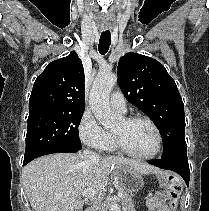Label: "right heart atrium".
I'll return each instance as SVG.
<instances>
[{
	"mask_svg": "<svg viewBox=\"0 0 209 211\" xmlns=\"http://www.w3.org/2000/svg\"><path fill=\"white\" fill-rule=\"evenodd\" d=\"M78 133L84 144L97 150L104 149L112 137L89 111H85L81 116L78 124Z\"/></svg>",
	"mask_w": 209,
	"mask_h": 211,
	"instance_id": "1",
	"label": "right heart atrium"
}]
</instances>
